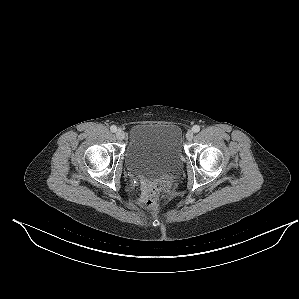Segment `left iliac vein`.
I'll use <instances>...</instances> for the list:
<instances>
[{
  "instance_id": "4c4485c4",
  "label": "left iliac vein",
  "mask_w": 299,
  "mask_h": 299,
  "mask_svg": "<svg viewBox=\"0 0 299 299\" xmlns=\"http://www.w3.org/2000/svg\"><path fill=\"white\" fill-rule=\"evenodd\" d=\"M193 131L189 130L187 133H186V139L188 141H191L193 139Z\"/></svg>"
}]
</instances>
